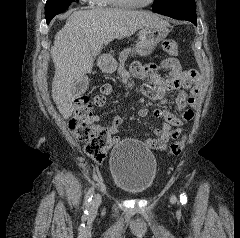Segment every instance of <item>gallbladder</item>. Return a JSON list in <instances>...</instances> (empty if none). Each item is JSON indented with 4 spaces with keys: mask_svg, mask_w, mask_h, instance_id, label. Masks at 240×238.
Listing matches in <instances>:
<instances>
[{
    "mask_svg": "<svg viewBox=\"0 0 240 238\" xmlns=\"http://www.w3.org/2000/svg\"><path fill=\"white\" fill-rule=\"evenodd\" d=\"M85 81H79V82H77L76 83V90H80V89H82L83 88V83H84Z\"/></svg>",
    "mask_w": 240,
    "mask_h": 238,
    "instance_id": "gallbladder-1",
    "label": "gallbladder"
}]
</instances>
